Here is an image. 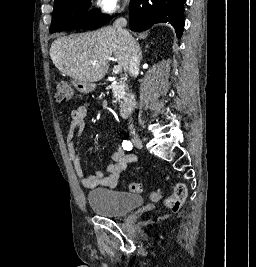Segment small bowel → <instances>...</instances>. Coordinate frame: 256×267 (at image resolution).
<instances>
[{
    "instance_id": "obj_1",
    "label": "small bowel",
    "mask_w": 256,
    "mask_h": 267,
    "mask_svg": "<svg viewBox=\"0 0 256 267\" xmlns=\"http://www.w3.org/2000/svg\"><path fill=\"white\" fill-rule=\"evenodd\" d=\"M88 106L83 103L76 107L71 113V120L67 132L66 142L68 154L74 170L86 189H94L98 186L113 190L117 187L121 174L127 169L128 164L136 163L137 157L127 154L122 148H118L111 156V162L107 166L108 175L101 171L87 174L80 161V135L86 125Z\"/></svg>"
}]
</instances>
